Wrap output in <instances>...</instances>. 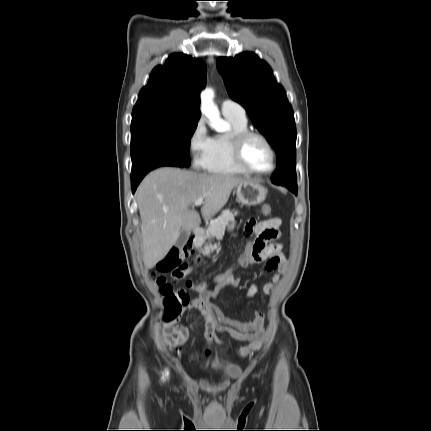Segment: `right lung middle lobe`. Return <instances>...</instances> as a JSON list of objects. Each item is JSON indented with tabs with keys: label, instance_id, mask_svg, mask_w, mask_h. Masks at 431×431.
<instances>
[{
	"label": "right lung middle lobe",
	"instance_id": "1",
	"mask_svg": "<svg viewBox=\"0 0 431 431\" xmlns=\"http://www.w3.org/2000/svg\"><path fill=\"white\" fill-rule=\"evenodd\" d=\"M198 120L148 115L132 118V163L151 152H162L190 165L189 148Z\"/></svg>",
	"mask_w": 431,
	"mask_h": 431
}]
</instances>
